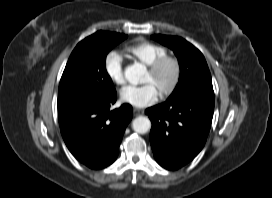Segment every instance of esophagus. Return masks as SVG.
I'll return each mask as SVG.
<instances>
[{"instance_id": "1", "label": "esophagus", "mask_w": 272, "mask_h": 198, "mask_svg": "<svg viewBox=\"0 0 272 198\" xmlns=\"http://www.w3.org/2000/svg\"><path fill=\"white\" fill-rule=\"evenodd\" d=\"M143 113H144V111L142 109H140V108H134L133 109L134 116H139V115H141Z\"/></svg>"}]
</instances>
